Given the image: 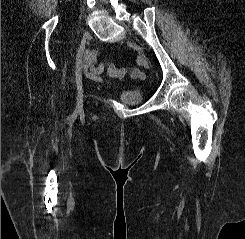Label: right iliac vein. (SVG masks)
<instances>
[{"label":"right iliac vein","mask_w":245,"mask_h":239,"mask_svg":"<svg viewBox=\"0 0 245 239\" xmlns=\"http://www.w3.org/2000/svg\"><path fill=\"white\" fill-rule=\"evenodd\" d=\"M89 37H90V33L88 31H85L83 33V37L81 39V45L83 47V51H84V48H85L86 41L88 40ZM76 85H77L76 109L77 110H81L82 107H83L82 61H81V64L79 66V69L77 71Z\"/></svg>","instance_id":"1"}]
</instances>
